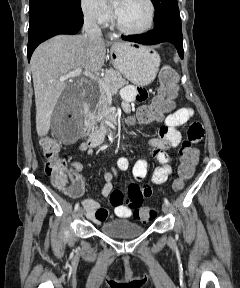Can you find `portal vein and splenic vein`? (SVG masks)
<instances>
[{
	"instance_id": "18ae733b",
	"label": "portal vein and splenic vein",
	"mask_w": 240,
	"mask_h": 288,
	"mask_svg": "<svg viewBox=\"0 0 240 288\" xmlns=\"http://www.w3.org/2000/svg\"><path fill=\"white\" fill-rule=\"evenodd\" d=\"M81 74H84L85 76H88L91 79L97 81L99 84L104 85V82L102 81V79L98 78L97 76L93 75L90 72H87V71L83 72L81 68L80 69H76L74 71H71V72L61 76L60 77V81H64L66 79H71V78L80 76Z\"/></svg>"
}]
</instances>
